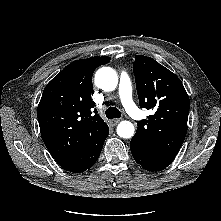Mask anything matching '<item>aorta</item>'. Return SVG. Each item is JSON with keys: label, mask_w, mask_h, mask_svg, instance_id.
<instances>
[{"label": "aorta", "mask_w": 221, "mask_h": 221, "mask_svg": "<svg viewBox=\"0 0 221 221\" xmlns=\"http://www.w3.org/2000/svg\"><path fill=\"white\" fill-rule=\"evenodd\" d=\"M95 84L104 91H113L118 84V76L114 69L102 67L95 74ZM134 126L129 121H121L117 126V134L125 139L134 135Z\"/></svg>", "instance_id": "aorta-1"}]
</instances>
